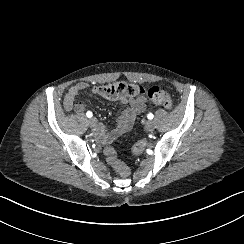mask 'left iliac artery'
Segmentation results:
<instances>
[{
	"mask_svg": "<svg viewBox=\"0 0 244 244\" xmlns=\"http://www.w3.org/2000/svg\"><path fill=\"white\" fill-rule=\"evenodd\" d=\"M147 117H148V119L151 120V119H153L154 115L152 113H149Z\"/></svg>",
	"mask_w": 244,
	"mask_h": 244,
	"instance_id": "left-iliac-artery-1",
	"label": "left iliac artery"
}]
</instances>
